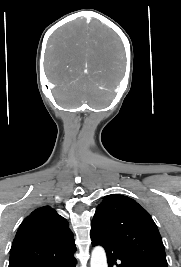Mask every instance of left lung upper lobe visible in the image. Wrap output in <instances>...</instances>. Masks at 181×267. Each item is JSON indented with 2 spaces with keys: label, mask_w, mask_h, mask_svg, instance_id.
Instances as JSON below:
<instances>
[{
  "label": "left lung upper lobe",
  "mask_w": 181,
  "mask_h": 267,
  "mask_svg": "<svg viewBox=\"0 0 181 267\" xmlns=\"http://www.w3.org/2000/svg\"><path fill=\"white\" fill-rule=\"evenodd\" d=\"M90 235L152 267H167L156 224L143 207L127 196L112 194L104 198L96 209Z\"/></svg>",
  "instance_id": "5c2ea615"
}]
</instances>
